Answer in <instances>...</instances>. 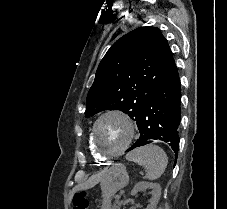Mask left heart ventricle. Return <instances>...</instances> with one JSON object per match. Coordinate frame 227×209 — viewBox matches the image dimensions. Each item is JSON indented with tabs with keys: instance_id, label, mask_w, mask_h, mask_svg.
I'll list each match as a JSON object with an SVG mask.
<instances>
[{
	"instance_id": "obj_1",
	"label": "left heart ventricle",
	"mask_w": 227,
	"mask_h": 209,
	"mask_svg": "<svg viewBox=\"0 0 227 209\" xmlns=\"http://www.w3.org/2000/svg\"><path fill=\"white\" fill-rule=\"evenodd\" d=\"M130 136L128 123L117 115L104 117L97 125L95 138L99 150L106 154L119 150Z\"/></svg>"
}]
</instances>
